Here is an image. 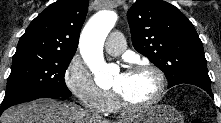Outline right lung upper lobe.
Segmentation results:
<instances>
[{
    "label": "right lung upper lobe",
    "instance_id": "cb5924a9",
    "mask_svg": "<svg viewBox=\"0 0 221 123\" xmlns=\"http://www.w3.org/2000/svg\"><path fill=\"white\" fill-rule=\"evenodd\" d=\"M88 4V0H59L49 5L30 23L17 51L75 53Z\"/></svg>",
    "mask_w": 221,
    "mask_h": 123
}]
</instances>
